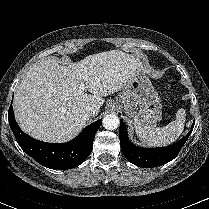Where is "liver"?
Here are the masks:
<instances>
[{
	"label": "liver",
	"instance_id": "liver-1",
	"mask_svg": "<svg viewBox=\"0 0 209 209\" xmlns=\"http://www.w3.org/2000/svg\"><path fill=\"white\" fill-rule=\"evenodd\" d=\"M139 69H143V63L121 50L89 55L68 66L58 64L55 57L42 60L17 86L15 118L21 129L35 139L67 142L89 120L85 108L93 106L98 114L105 101L103 96L124 89Z\"/></svg>",
	"mask_w": 209,
	"mask_h": 209
}]
</instances>
